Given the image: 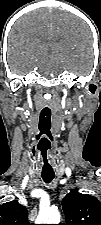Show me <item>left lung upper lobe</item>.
<instances>
[{
  "label": "left lung upper lobe",
  "instance_id": "left-lung-upper-lobe-1",
  "mask_svg": "<svg viewBox=\"0 0 101 225\" xmlns=\"http://www.w3.org/2000/svg\"><path fill=\"white\" fill-rule=\"evenodd\" d=\"M66 224L101 225V202L88 194L72 189L62 200Z\"/></svg>",
  "mask_w": 101,
  "mask_h": 225
}]
</instances>
